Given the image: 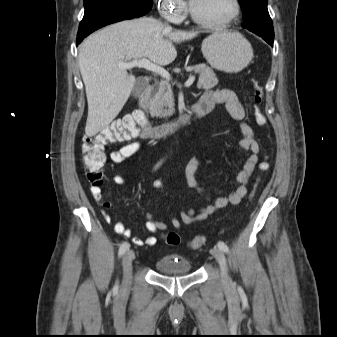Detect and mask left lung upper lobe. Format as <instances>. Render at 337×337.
I'll use <instances>...</instances> for the list:
<instances>
[{
  "label": "left lung upper lobe",
  "mask_w": 337,
  "mask_h": 337,
  "mask_svg": "<svg viewBox=\"0 0 337 337\" xmlns=\"http://www.w3.org/2000/svg\"><path fill=\"white\" fill-rule=\"evenodd\" d=\"M243 10V28H259L274 32L267 9L268 0H238Z\"/></svg>",
  "instance_id": "left-lung-upper-lobe-1"
}]
</instances>
